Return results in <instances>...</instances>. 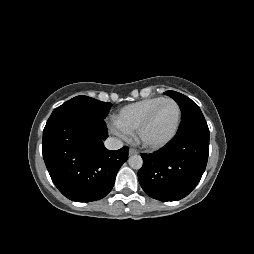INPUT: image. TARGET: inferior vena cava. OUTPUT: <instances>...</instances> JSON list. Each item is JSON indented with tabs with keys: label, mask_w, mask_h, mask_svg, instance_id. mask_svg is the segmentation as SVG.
Returning <instances> with one entry per match:
<instances>
[{
	"label": "inferior vena cava",
	"mask_w": 254,
	"mask_h": 254,
	"mask_svg": "<svg viewBox=\"0 0 254 254\" xmlns=\"http://www.w3.org/2000/svg\"><path fill=\"white\" fill-rule=\"evenodd\" d=\"M104 145L109 150H118L123 147V142L117 138L109 137L105 140Z\"/></svg>",
	"instance_id": "602c4592"
}]
</instances>
